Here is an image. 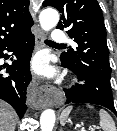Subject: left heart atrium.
<instances>
[{
    "instance_id": "1",
    "label": "left heart atrium",
    "mask_w": 117,
    "mask_h": 131,
    "mask_svg": "<svg viewBox=\"0 0 117 131\" xmlns=\"http://www.w3.org/2000/svg\"><path fill=\"white\" fill-rule=\"evenodd\" d=\"M34 69L43 75H50L52 72L47 59L44 56H40L35 60Z\"/></svg>"
}]
</instances>
